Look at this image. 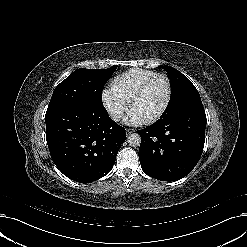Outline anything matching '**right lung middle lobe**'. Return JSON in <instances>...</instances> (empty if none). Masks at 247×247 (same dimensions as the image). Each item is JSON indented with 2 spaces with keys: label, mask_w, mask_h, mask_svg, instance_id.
I'll return each instance as SVG.
<instances>
[{
  "label": "right lung middle lobe",
  "mask_w": 247,
  "mask_h": 247,
  "mask_svg": "<svg viewBox=\"0 0 247 247\" xmlns=\"http://www.w3.org/2000/svg\"><path fill=\"white\" fill-rule=\"evenodd\" d=\"M115 70L116 66L75 70L55 88L47 111L62 106H103V87Z\"/></svg>",
  "instance_id": "obj_1"
}]
</instances>
